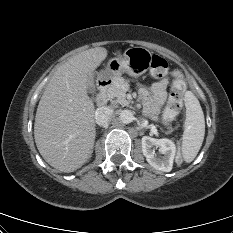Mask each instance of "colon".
Here are the masks:
<instances>
[{
  "instance_id": "5ec220e1",
  "label": "colon",
  "mask_w": 233,
  "mask_h": 233,
  "mask_svg": "<svg viewBox=\"0 0 233 233\" xmlns=\"http://www.w3.org/2000/svg\"><path fill=\"white\" fill-rule=\"evenodd\" d=\"M150 72L156 78L164 77L168 72L167 61L161 56L153 55L150 62ZM184 92L185 83L182 79L176 78L173 82V87L168 99V103L162 114V119L165 124L172 122L179 113L183 105ZM175 162L178 165L182 164L183 156L181 153H177Z\"/></svg>"
}]
</instances>
